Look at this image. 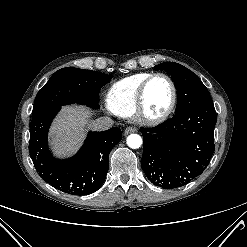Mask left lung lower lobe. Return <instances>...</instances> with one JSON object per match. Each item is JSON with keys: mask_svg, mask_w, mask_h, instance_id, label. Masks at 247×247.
<instances>
[{"mask_svg": "<svg viewBox=\"0 0 247 247\" xmlns=\"http://www.w3.org/2000/svg\"><path fill=\"white\" fill-rule=\"evenodd\" d=\"M213 104L200 105L153 128H141V166L147 178L165 189L181 187L207 167L215 150Z\"/></svg>", "mask_w": 247, "mask_h": 247, "instance_id": "obj_1", "label": "left lung lower lobe"}]
</instances>
